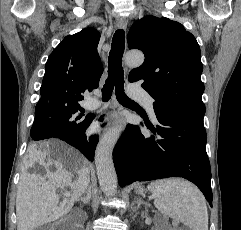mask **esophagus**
I'll return each instance as SVG.
<instances>
[{"label":"esophagus","instance_id":"1","mask_svg":"<svg viewBox=\"0 0 241 230\" xmlns=\"http://www.w3.org/2000/svg\"><path fill=\"white\" fill-rule=\"evenodd\" d=\"M116 27L118 29H122V30H126L127 28V22H126V19L123 18V17H119L117 19V24H116ZM123 121H122V117L119 116L113 123L114 126H119V127H123Z\"/></svg>","mask_w":241,"mask_h":230}]
</instances>
